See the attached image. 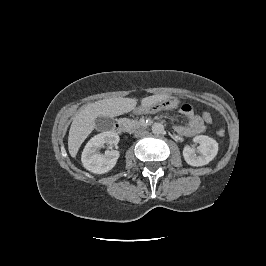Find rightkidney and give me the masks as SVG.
<instances>
[{
  "instance_id": "right-kidney-1",
  "label": "right kidney",
  "mask_w": 266,
  "mask_h": 266,
  "mask_svg": "<svg viewBox=\"0 0 266 266\" xmlns=\"http://www.w3.org/2000/svg\"><path fill=\"white\" fill-rule=\"evenodd\" d=\"M119 140L118 134L112 131H105L91 138L86 144L81 156L84 168L96 174H104L110 171L116 165L119 152L116 150H107L104 154H101L99 148L104 144L110 147L117 145Z\"/></svg>"
}]
</instances>
